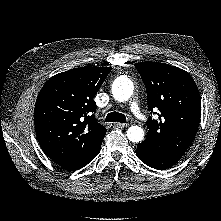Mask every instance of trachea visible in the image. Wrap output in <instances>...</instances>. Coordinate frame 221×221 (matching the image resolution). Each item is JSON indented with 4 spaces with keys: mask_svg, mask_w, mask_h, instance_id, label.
Listing matches in <instances>:
<instances>
[{
    "mask_svg": "<svg viewBox=\"0 0 221 221\" xmlns=\"http://www.w3.org/2000/svg\"><path fill=\"white\" fill-rule=\"evenodd\" d=\"M106 122H120V123H126V117L124 114H121L119 112H111L109 113L106 118Z\"/></svg>",
    "mask_w": 221,
    "mask_h": 221,
    "instance_id": "3493384b",
    "label": "trachea"
}]
</instances>
